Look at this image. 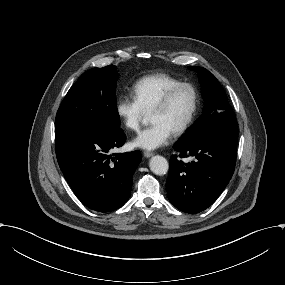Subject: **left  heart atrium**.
<instances>
[{
  "instance_id": "39dd6f15",
  "label": "left heart atrium",
  "mask_w": 285,
  "mask_h": 285,
  "mask_svg": "<svg viewBox=\"0 0 285 285\" xmlns=\"http://www.w3.org/2000/svg\"><path fill=\"white\" fill-rule=\"evenodd\" d=\"M172 129L160 121H154L134 139V145L144 149H155L166 144Z\"/></svg>"
}]
</instances>
